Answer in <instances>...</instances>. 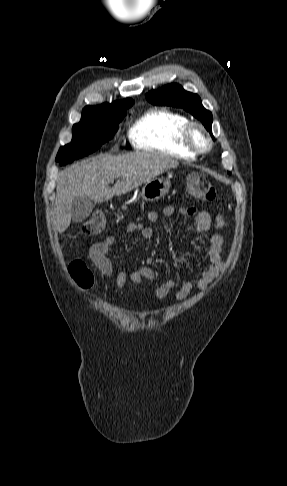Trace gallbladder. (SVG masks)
Masks as SVG:
<instances>
[{"label":"gallbladder","instance_id":"bac80fb5","mask_svg":"<svg viewBox=\"0 0 287 486\" xmlns=\"http://www.w3.org/2000/svg\"><path fill=\"white\" fill-rule=\"evenodd\" d=\"M94 202L88 197H76L72 202V220L80 223L89 217L94 209Z\"/></svg>","mask_w":287,"mask_h":486}]
</instances>
